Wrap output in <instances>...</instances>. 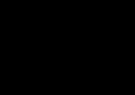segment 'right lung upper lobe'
Instances as JSON below:
<instances>
[{"mask_svg":"<svg viewBox=\"0 0 135 95\" xmlns=\"http://www.w3.org/2000/svg\"><path fill=\"white\" fill-rule=\"evenodd\" d=\"M41 19L40 13L17 10L0 28V56L17 73L35 74L52 59L41 42Z\"/></svg>","mask_w":135,"mask_h":95,"instance_id":"obj_1","label":"right lung upper lobe"}]
</instances>
